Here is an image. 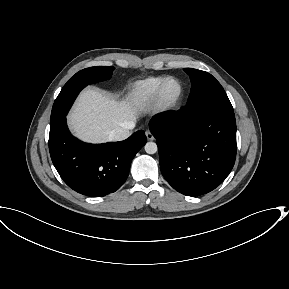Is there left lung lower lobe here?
I'll list each match as a JSON object with an SVG mask.
<instances>
[{
    "mask_svg": "<svg viewBox=\"0 0 289 289\" xmlns=\"http://www.w3.org/2000/svg\"><path fill=\"white\" fill-rule=\"evenodd\" d=\"M160 169L168 183L187 196H199L218 187L236 158V122L233 108L194 104L152 117Z\"/></svg>",
    "mask_w": 289,
    "mask_h": 289,
    "instance_id": "0a47b994",
    "label": "left lung lower lobe"
}]
</instances>
